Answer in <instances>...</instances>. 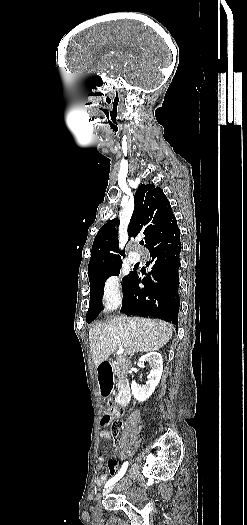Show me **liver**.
I'll list each match as a JSON object with an SVG mask.
<instances>
[{"label": "liver", "mask_w": 247, "mask_h": 525, "mask_svg": "<svg viewBox=\"0 0 247 525\" xmlns=\"http://www.w3.org/2000/svg\"><path fill=\"white\" fill-rule=\"evenodd\" d=\"M174 327L159 319L143 317H116L106 323L93 325L89 333L90 347L98 367L117 351L124 349V355L132 353H154L167 345Z\"/></svg>", "instance_id": "liver-1"}]
</instances>
